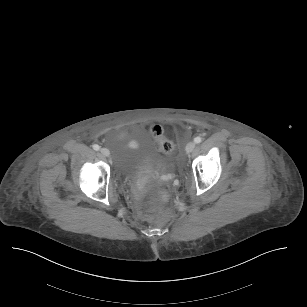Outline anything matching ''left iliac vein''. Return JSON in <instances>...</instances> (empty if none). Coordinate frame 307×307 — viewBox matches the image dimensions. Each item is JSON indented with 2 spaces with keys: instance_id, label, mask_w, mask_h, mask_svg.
Here are the masks:
<instances>
[{
  "instance_id": "obj_1",
  "label": "left iliac vein",
  "mask_w": 307,
  "mask_h": 307,
  "mask_svg": "<svg viewBox=\"0 0 307 307\" xmlns=\"http://www.w3.org/2000/svg\"><path fill=\"white\" fill-rule=\"evenodd\" d=\"M195 149V143L189 142L186 146V152L189 154Z\"/></svg>"
}]
</instances>
